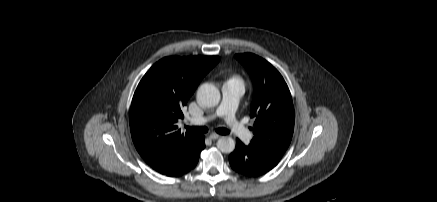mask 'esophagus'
<instances>
[{"label": "esophagus", "instance_id": "esophagus-1", "mask_svg": "<svg viewBox=\"0 0 437 202\" xmlns=\"http://www.w3.org/2000/svg\"><path fill=\"white\" fill-rule=\"evenodd\" d=\"M221 136L219 135V134H216V133H211L210 135H209V138L210 139H212V140H217V139H219Z\"/></svg>", "mask_w": 437, "mask_h": 202}]
</instances>
